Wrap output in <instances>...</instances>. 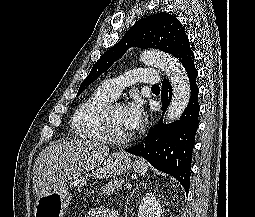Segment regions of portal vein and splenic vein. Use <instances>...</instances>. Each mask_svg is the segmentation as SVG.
<instances>
[{
    "label": "portal vein and splenic vein",
    "instance_id": "18ae733b",
    "mask_svg": "<svg viewBox=\"0 0 255 217\" xmlns=\"http://www.w3.org/2000/svg\"><path fill=\"white\" fill-rule=\"evenodd\" d=\"M127 188H131V185H126Z\"/></svg>",
    "mask_w": 255,
    "mask_h": 217
}]
</instances>
